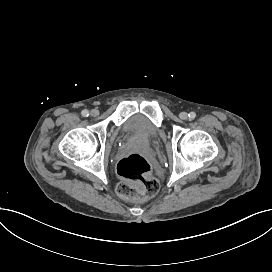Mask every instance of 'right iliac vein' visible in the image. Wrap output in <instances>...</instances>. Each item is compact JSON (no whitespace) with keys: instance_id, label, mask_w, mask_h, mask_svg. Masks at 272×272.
I'll list each match as a JSON object with an SVG mask.
<instances>
[{"instance_id":"obj_1","label":"right iliac vein","mask_w":272,"mask_h":272,"mask_svg":"<svg viewBox=\"0 0 272 272\" xmlns=\"http://www.w3.org/2000/svg\"><path fill=\"white\" fill-rule=\"evenodd\" d=\"M90 114H91L92 116L96 117V116H98L99 111H98L97 109H92L91 112H90Z\"/></svg>"}]
</instances>
